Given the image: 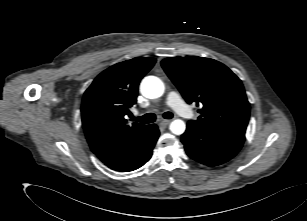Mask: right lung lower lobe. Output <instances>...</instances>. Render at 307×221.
Segmentation results:
<instances>
[{
	"mask_svg": "<svg viewBox=\"0 0 307 221\" xmlns=\"http://www.w3.org/2000/svg\"><path fill=\"white\" fill-rule=\"evenodd\" d=\"M158 137V127L155 124L149 125L132 144L105 164L113 170L122 172L138 169L151 158Z\"/></svg>",
	"mask_w": 307,
	"mask_h": 221,
	"instance_id": "obj_1",
	"label": "right lung lower lobe"
}]
</instances>
